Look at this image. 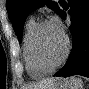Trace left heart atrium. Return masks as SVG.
<instances>
[{
	"label": "left heart atrium",
	"instance_id": "obj_1",
	"mask_svg": "<svg viewBox=\"0 0 89 89\" xmlns=\"http://www.w3.org/2000/svg\"><path fill=\"white\" fill-rule=\"evenodd\" d=\"M51 24L57 31H59L61 34H63L62 26H61L60 22L58 21V19L54 18L51 21Z\"/></svg>",
	"mask_w": 89,
	"mask_h": 89
}]
</instances>
